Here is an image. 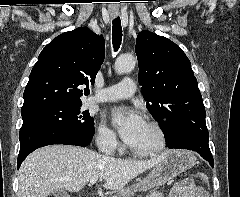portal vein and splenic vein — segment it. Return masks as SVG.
Segmentation results:
<instances>
[{"instance_id":"1","label":"portal vein and splenic vein","mask_w":240,"mask_h":197,"mask_svg":"<svg viewBox=\"0 0 240 197\" xmlns=\"http://www.w3.org/2000/svg\"><path fill=\"white\" fill-rule=\"evenodd\" d=\"M96 181H97V178H92L91 180H90V184H95L96 183Z\"/></svg>"}]
</instances>
